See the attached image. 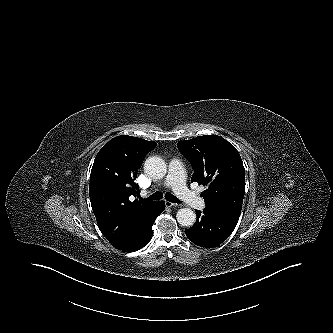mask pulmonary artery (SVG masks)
<instances>
[{
	"label": "pulmonary artery",
	"mask_w": 333,
	"mask_h": 333,
	"mask_svg": "<svg viewBox=\"0 0 333 333\" xmlns=\"http://www.w3.org/2000/svg\"><path fill=\"white\" fill-rule=\"evenodd\" d=\"M165 185L172 187L176 195L187 205L196 209L204 207L203 199L187 188L183 163L180 159L171 161Z\"/></svg>",
	"instance_id": "1"
}]
</instances>
